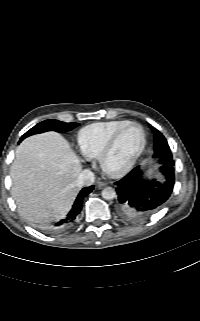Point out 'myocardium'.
<instances>
[{
	"mask_svg": "<svg viewBox=\"0 0 200 321\" xmlns=\"http://www.w3.org/2000/svg\"><path fill=\"white\" fill-rule=\"evenodd\" d=\"M131 126H136V127L140 128V130L142 132V142H141L139 148L137 149V151L135 152V154L127 162V164L125 166H123L122 168H119V169H111L107 165V158L110 155V153L112 152V150L114 149V147L116 146L117 141H118L119 137L121 136V134L127 128H129ZM146 141H147L146 131L141 124H139L137 122H129V123L123 125L122 127H120L111 136V138L108 140V142L105 144V146L103 147V149L101 150V152L98 155V162H99V165H100L101 169L103 170V172L106 173L107 175H109L111 177H115V178L122 177V176L126 175L127 173H129L131 171V169L134 167V165L136 164L137 160L140 158L141 154L143 153V151L146 147Z\"/></svg>",
	"mask_w": 200,
	"mask_h": 321,
	"instance_id": "1",
	"label": "myocardium"
}]
</instances>
